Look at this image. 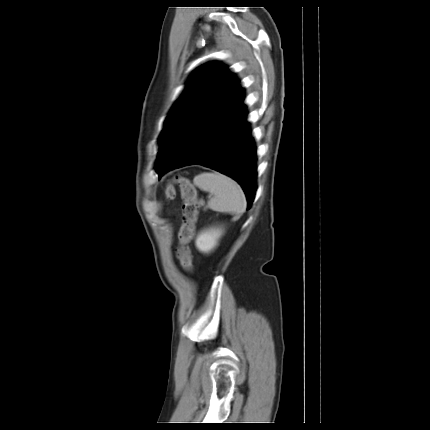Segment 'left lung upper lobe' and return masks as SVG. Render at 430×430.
Wrapping results in <instances>:
<instances>
[{"label":"left lung upper lobe","mask_w":430,"mask_h":430,"mask_svg":"<svg viewBox=\"0 0 430 430\" xmlns=\"http://www.w3.org/2000/svg\"><path fill=\"white\" fill-rule=\"evenodd\" d=\"M244 112V91L234 74L217 62L202 65L166 118L156 172L189 138L200 119L202 122L211 114L230 119Z\"/></svg>","instance_id":"1"}]
</instances>
